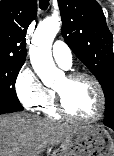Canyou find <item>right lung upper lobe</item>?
I'll list each match as a JSON object with an SVG mask.
<instances>
[{
    "instance_id": "cb5924a9",
    "label": "right lung upper lobe",
    "mask_w": 114,
    "mask_h": 156,
    "mask_svg": "<svg viewBox=\"0 0 114 156\" xmlns=\"http://www.w3.org/2000/svg\"><path fill=\"white\" fill-rule=\"evenodd\" d=\"M37 14V0L0 1V60L25 62L26 32Z\"/></svg>"
}]
</instances>
